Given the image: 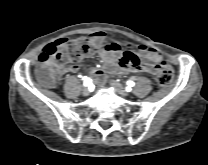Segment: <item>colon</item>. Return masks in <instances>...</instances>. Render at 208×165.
Returning a JSON list of instances; mask_svg holds the SVG:
<instances>
[{
    "label": "colon",
    "mask_w": 208,
    "mask_h": 165,
    "mask_svg": "<svg viewBox=\"0 0 208 165\" xmlns=\"http://www.w3.org/2000/svg\"><path fill=\"white\" fill-rule=\"evenodd\" d=\"M95 45L89 38H62L47 45L38 56L37 76L46 85H54L61 69L70 67L82 58L92 54ZM135 59L131 52L125 53V59ZM157 75V82L163 87L170 86L174 80V71L164 61Z\"/></svg>",
    "instance_id": "obj_1"
}]
</instances>
